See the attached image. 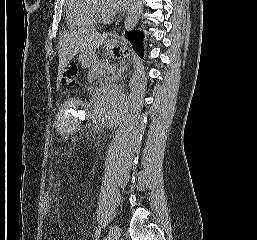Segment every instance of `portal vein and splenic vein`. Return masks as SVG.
<instances>
[{"label":"portal vein and splenic vein","mask_w":257,"mask_h":240,"mask_svg":"<svg viewBox=\"0 0 257 240\" xmlns=\"http://www.w3.org/2000/svg\"><path fill=\"white\" fill-rule=\"evenodd\" d=\"M116 69V65H111L109 67V71L113 72Z\"/></svg>","instance_id":"1"}]
</instances>
